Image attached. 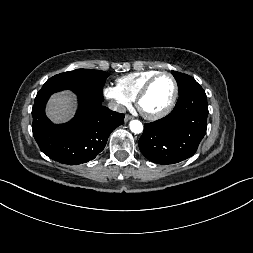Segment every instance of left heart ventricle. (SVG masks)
<instances>
[{
	"instance_id": "1",
	"label": "left heart ventricle",
	"mask_w": 253,
	"mask_h": 253,
	"mask_svg": "<svg viewBox=\"0 0 253 253\" xmlns=\"http://www.w3.org/2000/svg\"><path fill=\"white\" fill-rule=\"evenodd\" d=\"M173 82L169 76L158 78L150 87L141 101L142 109L147 113H157L163 110L173 95Z\"/></svg>"
}]
</instances>
